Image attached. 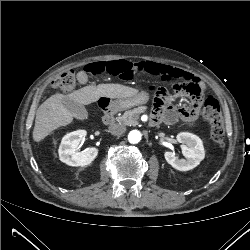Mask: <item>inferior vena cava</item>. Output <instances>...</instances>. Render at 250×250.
<instances>
[{
  "instance_id": "inferior-vena-cava-1",
  "label": "inferior vena cava",
  "mask_w": 250,
  "mask_h": 250,
  "mask_svg": "<svg viewBox=\"0 0 250 250\" xmlns=\"http://www.w3.org/2000/svg\"><path fill=\"white\" fill-rule=\"evenodd\" d=\"M125 131L126 127L122 124H112L109 126V132L113 135L121 136Z\"/></svg>"
}]
</instances>
